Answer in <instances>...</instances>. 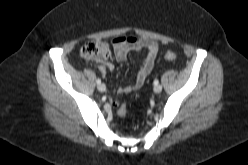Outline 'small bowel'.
Returning a JSON list of instances; mask_svg holds the SVG:
<instances>
[{"label": "small bowel", "mask_w": 248, "mask_h": 165, "mask_svg": "<svg viewBox=\"0 0 248 165\" xmlns=\"http://www.w3.org/2000/svg\"><path fill=\"white\" fill-rule=\"evenodd\" d=\"M115 59L118 62H124L127 59V53L130 49L145 50L146 57L141 68L130 85L120 87L118 93L125 94L141 87L147 76L151 73L155 59L159 52V46L156 42L137 36H120L111 42ZM111 67V65H109Z\"/></svg>", "instance_id": "1"}]
</instances>
